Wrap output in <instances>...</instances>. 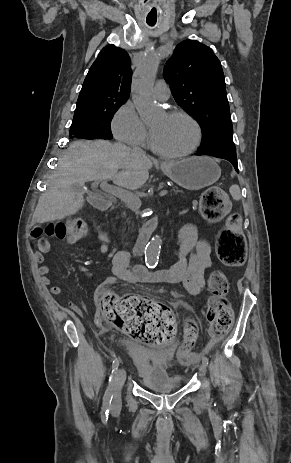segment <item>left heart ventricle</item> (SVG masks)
<instances>
[{"label":"left heart ventricle","instance_id":"obj_1","mask_svg":"<svg viewBox=\"0 0 291 463\" xmlns=\"http://www.w3.org/2000/svg\"><path fill=\"white\" fill-rule=\"evenodd\" d=\"M155 146L174 153L187 149L194 140L193 126L184 118L162 115L150 124Z\"/></svg>","mask_w":291,"mask_h":463}]
</instances>
